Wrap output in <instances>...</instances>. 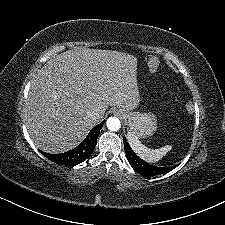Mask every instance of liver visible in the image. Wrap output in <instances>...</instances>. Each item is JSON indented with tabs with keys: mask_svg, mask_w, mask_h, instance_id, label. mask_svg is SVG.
<instances>
[{
	"mask_svg": "<svg viewBox=\"0 0 225 225\" xmlns=\"http://www.w3.org/2000/svg\"><path fill=\"white\" fill-rule=\"evenodd\" d=\"M137 58L118 51L80 48L63 52L34 75L24 122L34 145L58 154L76 147L108 106L137 108ZM99 110L100 116L87 112Z\"/></svg>",
	"mask_w": 225,
	"mask_h": 225,
	"instance_id": "liver-1",
	"label": "liver"
}]
</instances>
